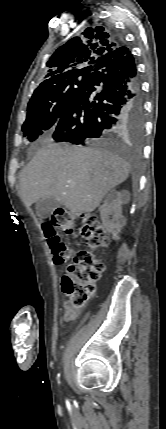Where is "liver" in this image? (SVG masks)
<instances>
[{"mask_svg": "<svg viewBox=\"0 0 166 429\" xmlns=\"http://www.w3.org/2000/svg\"><path fill=\"white\" fill-rule=\"evenodd\" d=\"M129 171V164L108 150L49 144L22 170L20 196L27 207L54 197L70 211L89 213Z\"/></svg>", "mask_w": 166, "mask_h": 429, "instance_id": "1", "label": "liver"}]
</instances>
